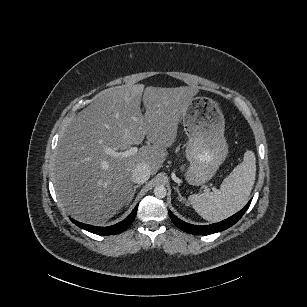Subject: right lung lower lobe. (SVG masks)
Returning <instances> with one entry per match:
<instances>
[{
  "mask_svg": "<svg viewBox=\"0 0 307 307\" xmlns=\"http://www.w3.org/2000/svg\"><path fill=\"white\" fill-rule=\"evenodd\" d=\"M137 208H138V205L134 208V210L131 212V214L126 219H124L123 221H121L118 224H115V225L109 226V227L91 226V225H87V224L77 222L73 219H71V220H72L73 223H75L80 228L85 229V230L92 232L94 234L113 235V234L123 232L124 230H126L132 224V222H133V220L136 216V213H137Z\"/></svg>",
  "mask_w": 307,
  "mask_h": 307,
  "instance_id": "98d812e1",
  "label": "right lung lower lobe"
}]
</instances>
